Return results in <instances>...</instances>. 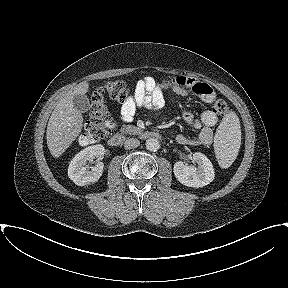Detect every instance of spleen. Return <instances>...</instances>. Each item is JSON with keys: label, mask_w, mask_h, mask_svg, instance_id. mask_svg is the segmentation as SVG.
Instances as JSON below:
<instances>
[{"label": "spleen", "mask_w": 288, "mask_h": 288, "mask_svg": "<svg viewBox=\"0 0 288 288\" xmlns=\"http://www.w3.org/2000/svg\"><path fill=\"white\" fill-rule=\"evenodd\" d=\"M241 129L238 116L229 111L218 126L214 137V150L220 167L228 168L238 155Z\"/></svg>", "instance_id": "1"}]
</instances>
